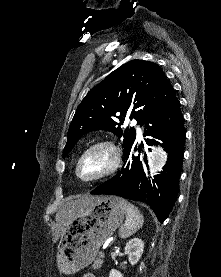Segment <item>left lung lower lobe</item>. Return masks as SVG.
Masks as SVG:
<instances>
[{"label": "left lung lower lobe", "instance_id": "obj_1", "mask_svg": "<svg viewBox=\"0 0 221 277\" xmlns=\"http://www.w3.org/2000/svg\"><path fill=\"white\" fill-rule=\"evenodd\" d=\"M144 136L162 140L168 160L163 171L149 181L142 167L140 155L136 154L134 142L125 156L120 172L96 187L91 194L117 195L130 200L147 203L155 212L158 220L168 217L178 193L179 178L184 155L185 130L180 103L174 94L145 124ZM148 145L156 144L154 139H145ZM143 147V144L141 145ZM139 146V152L142 148ZM147 163L146 157H144Z\"/></svg>", "mask_w": 221, "mask_h": 277}]
</instances>
